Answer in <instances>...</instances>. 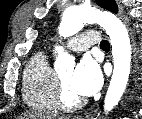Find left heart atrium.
<instances>
[{
  "instance_id": "1",
  "label": "left heart atrium",
  "mask_w": 142,
  "mask_h": 119,
  "mask_svg": "<svg viewBox=\"0 0 142 119\" xmlns=\"http://www.w3.org/2000/svg\"><path fill=\"white\" fill-rule=\"evenodd\" d=\"M102 84L98 66L90 60H82L70 79V87L78 96L89 97L96 93Z\"/></svg>"
}]
</instances>
